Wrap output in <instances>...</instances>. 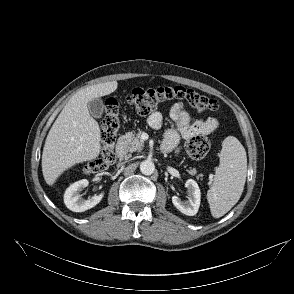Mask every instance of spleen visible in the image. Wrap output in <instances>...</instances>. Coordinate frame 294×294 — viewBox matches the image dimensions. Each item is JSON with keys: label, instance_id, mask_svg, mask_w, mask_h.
<instances>
[{"label": "spleen", "instance_id": "3e777b00", "mask_svg": "<svg viewBox=\"0 0 294 294\" xmlns=\"http://www.w3.org/2000/svg\"><path fill=\"white\" fill-rule=\"evenodd\" d=\"M247 156L239 140L228 136L222 143L220 166L208 190L207 199L215 218L226 214L239 200L246 181Z\"/></svg>", "mask_w": 294, "mask_h": 294}]
</instances>
